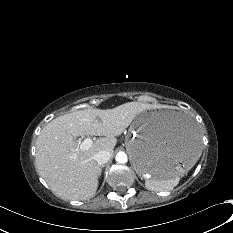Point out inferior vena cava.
Returning a JSON list of instances; mask_svg holds the SVG:
<instances>
[{
  "label": "inferior vena cava",
  "instance_id": "inferior-vena-cava-1",
  "mask_svg": "<svg viewBox=\"0 0 233 233\" xmlns=\"http://www.w3.org/2000/svg\"><path fill=\"white\" fill-rule=\"evenodd\" d=\"M111 153L108 150H101L94 154L93 158L94 160L99 164H105L110 160Z\"/></svg>",
  "mask_w": 233,
  "mask_h": 233
}]
</instances>
